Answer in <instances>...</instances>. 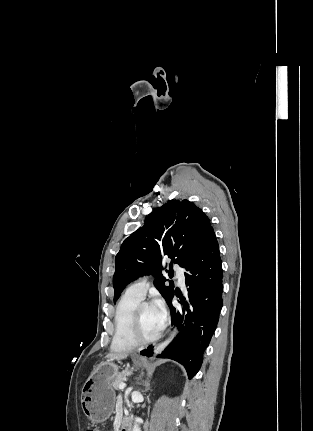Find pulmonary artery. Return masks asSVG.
I'll return each mask as SVG.
<instances>
[{"mask_svg":"<svg viewBox=\"0 0 313 431\" xmlns=\"http://www.w3.org/2000/svg\"><path fill=\"white\" fill-rule=\"evenodd\" d=\"M176 277L178 279V282L181 286H184L185 284V274L183 268L180 266L175 267ZM149 288V282L146 277L138 280L137 282L131 284L127 287L126 293L135 297H138L140 299H143L146 295V292Z\"/></svg>","mask_w":313,"mask_h":431,"instance_id":"1","label":"pulmonary artery"}]
</instances>
